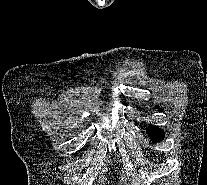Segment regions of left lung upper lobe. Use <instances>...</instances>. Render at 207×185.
Returning a JSON list of instances; mask_svg holds the SVG:
<instances>
[{
	"mask_svg": "<svg viewBox=\"0 0 207 185\" xmlns=\"http://www.w3.org/2000/svg\"><path fill=\"white\" fill-rule=\"evenodd\" d=\"M147 132L154 142H160L164 138V131L158 127L151 126L147 129Z\"/></svg>",
	"mask_w": 207,
	"mask_h": 185,
	"instance_id": "left-lung-upper-lobe-1",
	"label": "left lung upper lobe"
}]
</instances>
